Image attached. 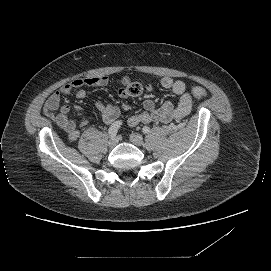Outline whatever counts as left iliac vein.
Returning <instances> with one entry per match:
<instances>
[{"label": "left iliac vein", "mask_w": 271, "mask_h": 271, "mask_svg": "<svg viewBox=\"0 0 271 271\" xmlns=\"http://www.w3.org/2000/svg\"><path fill=\"white\" fill-rule=\"evenodd\" d=\"M129 139L136 146H141L143 144V137L138 133L130 134Z\"/></svg>", "instance_id": "1"}]
</instances>
